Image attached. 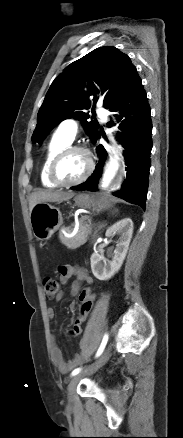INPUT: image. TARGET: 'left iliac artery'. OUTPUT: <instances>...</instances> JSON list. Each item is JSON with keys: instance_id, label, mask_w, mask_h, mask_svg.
I'll use <instances>...</instances> for the list:
<instances>
[{"instance_id": "44dca946", "label": "left iliac artery", "mask_w": 183, "mask_h": 438, "mask_svg": "<svg viewBox=\"0 0 183 438\" xmlns=\"http://www.w3.org/2000/svg\"><path fill=\"white\" fill-rule=\"evenodd\" d=\"M107 341H108V334H105L104 337H103V339H102L101 345H100V347H99V349H98V351H97V353H96V356H95L96 358L99 357V356L103 353V351H104V349H105V346H106V344H107ZM80 371H81V368H76V369H74V370L72 371L71 375H72V376H75V375H77Z\"/></svg>"}]
</instances>
